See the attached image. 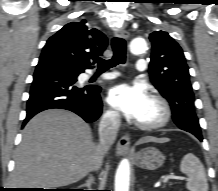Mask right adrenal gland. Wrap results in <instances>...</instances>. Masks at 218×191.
Returning <instances> with one entry per match:
<instances>
[{
    "mask_svg": "<svg viewBox=\"0 0 218 191\" xmlns=\"http://www.w3.org/2000/svg\"><path fill=\"white\" fill-rule=\"evenodd\" d=\"M94 184V177L92 175H89L88 180L85 184H82L81 187H87L88 190H92L91 187Z\"/></svg>",
    "mask_w": 218,
    "mask_h": 191,
    "instance_id": "1",
    "label": "right adrenal gland"
}]
</instances>
